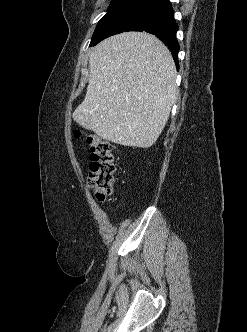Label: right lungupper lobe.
I'll return each mask as SVG.
<instances>
[{
	"instance_id": "obj_1",
	"label": "right lung upper lobe",
	"mask_w": 247,
	"mask_h": 332,
	"mask_svg": "<svg viewBox=\"0 0 247 332\" xmlns=\"http://www.w3.org/2000/svg\"><path fill=\"white\" fill-rule=\"evenodd\" d=\"M145 1L149 2V1H151V0H145Z\"/></svg>"
}]
</instances>
